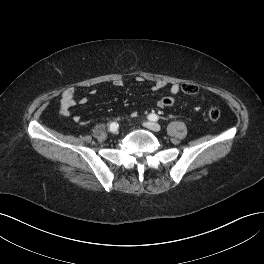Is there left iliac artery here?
<instances>
[{
	"label": "left iliac artery",
	"mask_w": 264,
	"mask_h": 264,
	"mask_svg": "<svg viewBox=\"0 0 264 264\" xmlns=\"http://www.w3.org/2000/svg\"><path fill=\"white\" fill-rule=\"evenodd\" d=\"M148 119L151 120V121H158L159 116L156 115V114H150V115L148 116Z\"/></svg>",
	"instance_id": "obj_1"
}]
</instances>
